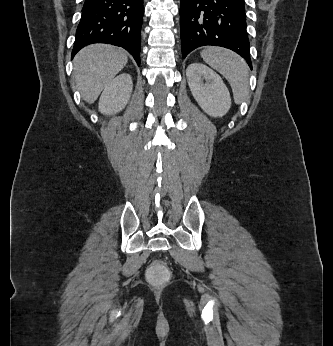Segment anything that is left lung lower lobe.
<instances>
[{
    "mask_svg": "<svg viewBox=\"0 0 333 346\" xmlns=\"http://www.w3.org/2000/svg\"><path fill=\"white\" fill-rule=\"evenodd\" d=\"M246 28L244 0H181L183 58L200 46H221L238 53L252 68Z\"/></svg>",
    "mask_w": 333,
    "mask_h": 346,
    "instance_id": "0a47b994",
    "label": "left lung lower lobe"
}]
</instances>
